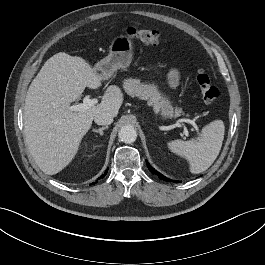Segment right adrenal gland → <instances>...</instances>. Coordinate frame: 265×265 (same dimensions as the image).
I'll return each mask as SVG.
<instances>
[{"mask_svg":"<svg viewBox=\"0 0 265 265\" xmlns=\"http://www.w3.org/2000/svg\"><path fill=\"white\" fill-rule=\"evenodd\" d=\"M108 129V126L101 127L99 129H93V132L99 133L101 136L103 135V130Z\"/></svg>","mask_w":265,"mask_h":265,"instance_id":"obj_1","label":"right adrenal gland"}]
</instances>
